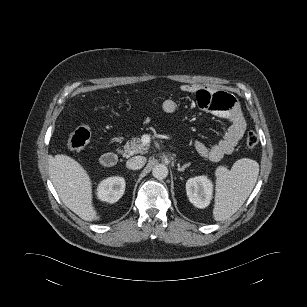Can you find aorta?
I'll use <instances>...</instances> for the list:
<instances>
[{
  "label": "aorta",
  "mask_w": 307,
  "mask_h": 307,
  "mask_svg": "<svg viewBox=\"0 0 307 307\" xmlns=\"http://www.w3.org/2000/svg\"><path fill=\"white\" fill-rule=\"evenodd\" d=\"M152 175L156 179H165L168 176V168L164 164H157L152 169Z\"/></svg>",
  "instance_id": "obj_1"
}]
</instances>
